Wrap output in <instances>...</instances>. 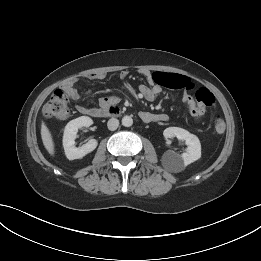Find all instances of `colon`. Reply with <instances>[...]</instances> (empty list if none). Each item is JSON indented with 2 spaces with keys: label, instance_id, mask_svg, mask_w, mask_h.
I'll list each match as a JSON object with an SVG mask.
<instances>
[{
  "label": "colon",
  "instance_id": "colon-1",
  "mask_svg": "<svg viewBox=\"0 0 261 261\" xmlns=\"http://www.w3.org/2000/svg\"><path fill=\"white\" fill-rule=\"evenodd\" d=\"M196 101L201 109L211 107L215 104L214 95L206 88H200L196 92ZM46 118L65 120L70 115L68 106V94L64 89L56 90L46 102L42 110ZM214 128L218 133L225 130V122L221 116H217L214 121Z\"/></svg>",
  "mask_w": 261,
  "mask_h": 261
}]
</instances>
